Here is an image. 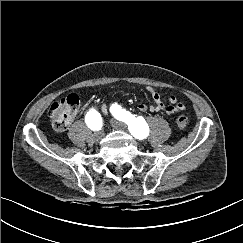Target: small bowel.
Here are the masks:
<instances>
[{"mask_svg":"<svg viewBox=\"0 0 243 243\" xmlns=\"http://www.w3.org/2000/svg\"><path fill=\"white\" fill-rule=\"evenodd\" d=\"M147 91L151 94V97L154 100L153 105H147L145 103H140L138 105V110L141 112H165L168 115H172L177 112L185 110L184 104L178 101L176 96L172 95L169 97L170 105L166 106L158 92H156L152 87H146ZM102 111L106 112L107 108L105 105H102Z\"/></svg>","mask_w":243,"mask_h":243,"instance_id":"c3829d8e","label":"small bowel"}]
</instances>
